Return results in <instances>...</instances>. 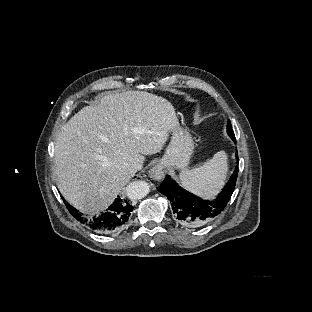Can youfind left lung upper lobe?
Returning <instances> with one entry per match:
<instances>
[{
	"instance_id": "obj_1",
	"label": "left lung upper lobe",
	"mask_w": 312,
	"mask_h": 312,
	"mask_svg": "<svg viewBox=\"0 0 312 312\" xmlns=\"http://www.w3.org/2000/svg\"><path fill=\"white\" fill-rule=\"evenodd\" d=\"M228 134L231 136L232 139H235V135H234V132L232 130L230 121H228Z\"/></svg>"
}]
</instances>
